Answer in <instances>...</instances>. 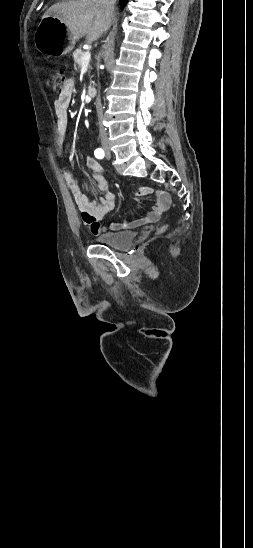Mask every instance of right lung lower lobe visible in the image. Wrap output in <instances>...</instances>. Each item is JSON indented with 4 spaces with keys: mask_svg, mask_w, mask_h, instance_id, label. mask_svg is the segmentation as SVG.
Returning a JSON list of instances; mask_svg holds the SVG:
<instances>
[{
    "mask_svg": "<svg viewBox=\"0 0 253 548\" xmlns=\"http://www.w3.org/2000/svg\"><path fill=\"white\" fill-rule=\"evenodd\" d=\"M127 2H128V0H121V3H122L123 5H126Z\"/></svg>",
    "mask_w": 253,
    "mask_h": 548,
    "instance_id": "obj_1",
    "label": "right lung lower lobe"
}]
</instances>
